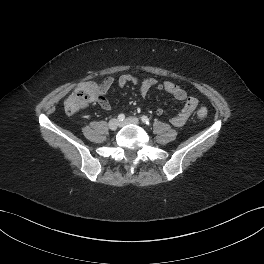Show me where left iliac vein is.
I'll return each mask as SVG.
<instances>
[{"label": "left iliac vein", "instance_id": "1", "mask_svg": "<svg viewBox=\"0 0 264 264\" xmlns=\"http://www.w3.org/2000/svg\"><path fill=\"white\" fill-rule=\"evenodd\" d=\"M140 123V120L136 117H129L127 119H125L121 125H126V124H136L138 125Z\"/></svg>", "mask_w": 264, "mask_h": 264}]
</instances>
